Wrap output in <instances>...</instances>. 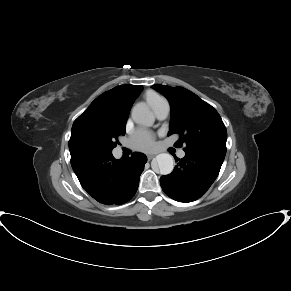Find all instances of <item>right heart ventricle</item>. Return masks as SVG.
<instances>
[{
	"instance_id": "1",
	"label": "right heart ventricle",
	"mask_w": 291,
	"mask_h": 291,
	"mask_svg": "<svg viewBox=\"0 0 291 291\" xmlns=\"http://www.w3.org/2000/svg\"><path fill=\"white\" fill-rule=\"evenodd\" d=\"M145 99L148 105L154 110L157 104L164 98L153 91H148L145 95Z\"/></svg>"
}]
</instances>
